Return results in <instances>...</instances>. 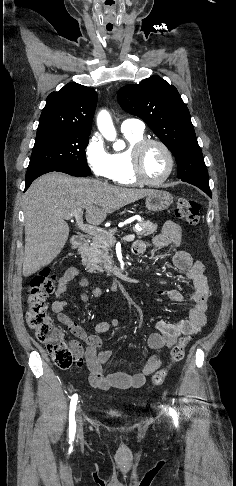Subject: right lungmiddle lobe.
Returning a JSON list of instances; mask_svg holds the SVG:
<instances>
[{
    "instance_id": "right-lung-middle-lobe-1",
    "label": "right lung middle lobe",
    "mask_w": 236,
    "mask_h": 486,
    "mask_svg": "<svg viewBox=\"0 0 236 486\" xmlns=\"http://www.w3.org/2000/svg\"><path fill=\"white\" fill-rule=\"evenodd\" d=\"M89 135L61 129L37 130L27 171L55 168L90 173L85 153Z\"/></svg>"
}]
</instances>
